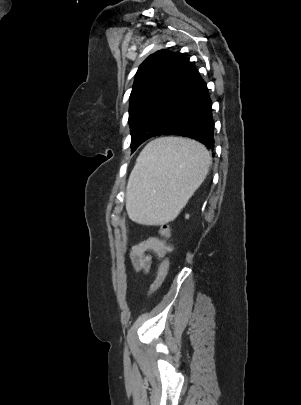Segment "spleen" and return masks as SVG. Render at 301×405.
Instances as JSON below:
<instances>
[{
  "label": "spleen",
  "mask_w": 301,
  "mask_h": 405,
  "mask_svg": "<svg viewBox=\"0 0 301 405\" xmlns=\"http://www.w3.org/2000/svg\"><path fill=\"white\" fill-rule=\"evenodd\" d=\"M210 165V153L194 140L162 137L151 141L128 180L129 218L146 225L174 220L206 178Z\"/></svg>",
  "instance_id": "1"
}]
</instances>
